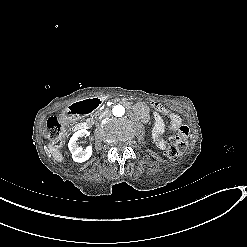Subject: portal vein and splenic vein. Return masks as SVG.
<instances>
[{
    "mask_svg": "<svg viewBox=\"0 0 247 247\" xmlns=\"http://www.w3.org/2000/svg\"><path fill=\"white\" fill-rule=\"evenodd\" d=\"M103 109H105V106L99 107V110H103Z\"/></svg>",
    "mask_w": 247,
    "mask_h": 247,
    "instance_id": "1",
    "label": "portal vein and splenic vein"
}]
</instances>
